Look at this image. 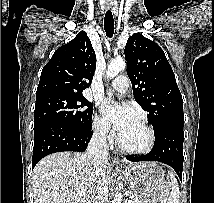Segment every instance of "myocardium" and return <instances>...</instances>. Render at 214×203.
<instances>
[{
    "label": "myocardium",
    "instance_id": "1",
    "mask_svg": "<svg viewBox=\"0 0 214 203\" xmlns=\"http://www.w3.org/2000/svg\"><path fill=\"white\" fill-rule=\"evenodd\" d=\"M139 122L147 132V136H148L147 142L143 146L138 148L128 147L122 143L121 136L119 134L117 138V147L122 152L131 154V155H141V154H146L153 149L155 145V140H156L155 132L153 128L145 120L140 119Z\"/></svg>",
    "mask_w": 214,
    "mask_h": 203
}]
</instances>
